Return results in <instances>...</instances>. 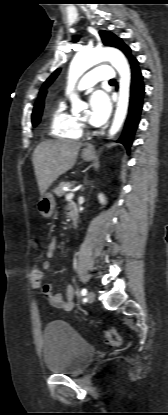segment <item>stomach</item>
<instances>
[{"label": "stomach", "mask_w": 168, "mask_h": 415, "mask_svg": "<svg viewBox=\"0 0 168 415\" xmlns=\"http://www.w3.org/2000/svg\"><path fill=\"white\" fill-rule=\"evenodd\" d=\"M85 161H90L95 157L93 149H84L81 154ZM55 200L52 194H43L38 202V211L43 217H51L55 209Z\"/></svg>", "instance_id": "stomach-1"}]
</instances>
